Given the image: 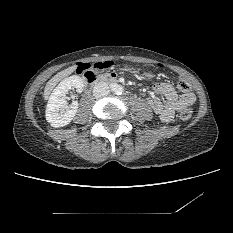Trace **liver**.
<instances>
[{"mask_svg": "<svg viewBox=\"0 0 233 233\" xmlns=\"http://www.w3.org/2000/svg\"><path fill=\"white\" fill-rule=\"evenodd\" d=\"M76 69V66H71L69 68H66L65 70L57 73L54 77H52L46 84L44 89V98L47 100L49 97V94L53 90V88L56 86V84L63 79L64 77L70 75L74 72Z\"/></svg>", "mask_w": 233, "mask_h": 233, "instance_id": "liver-1", "label": "liver"}]
</instances>
